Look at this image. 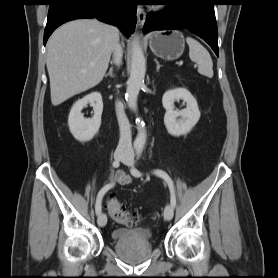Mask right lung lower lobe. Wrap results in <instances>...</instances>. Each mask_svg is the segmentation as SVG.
I'll use <instances>...</instances> for the list:
<instances>
[{"mask_svg": "<svg viewBox=\"0 0 278 278\" xmlns=\"http://www.w3.org/2000/svg\"><path fill=\"white\" fill-rule=\"evenodd\" d=\"M136 10L132 0H51L44 45L58 26L80 18H97L116 25L126 36H130L136 22Z\"/></svg>", "mask_w": 278, "mask_h": 278, "instance_id": "obj_1", "label": "right lung lower lobe"}]
</instances>
